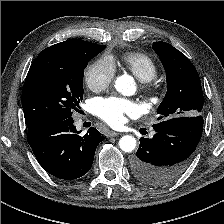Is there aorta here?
Instances as JSON below:
<instances>
[{"label": "aorta", "instance_id": "1", "mask_svg": "<svg viewBox=\"0 0 224 224\" xmlns=\"http://www.w3.org/2000/svg\"><path fill=\"white\" fill-rule=\"evenodd\" d=\"M115 88L123 95H131L135 91V86L132 77L122 75L115 81ZM119 146L124 152H132L136 147V140L130 135H125L119 140Z\"/></svg>", "mask_w": 224, "mask_h": 224}]
</instances>
